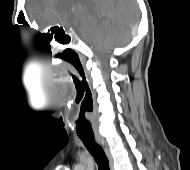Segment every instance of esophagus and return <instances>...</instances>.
Returning <instances> with one entry per match:
<instances>
[{"mask_svg":"<svg viewBox=\"0 0 190 170\" xmlns=\"http://www.w3.org/2000/svg\"><path fill=\"white\" fill-rule=\"evenodd\" d=\"M95 140L96 142L102 147L103 151L105 152L106 157L109 160V164H110V169L112 170V165H113V159L110 153V150L107 146L106 141L104 140V138L100 135H96L95 136Z\"/></svg>","mask_w":190,"mask_h":170,"instance_id":"1","label":"esophagus"}]
</instances>
